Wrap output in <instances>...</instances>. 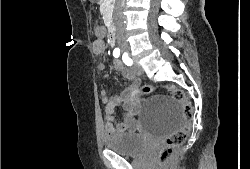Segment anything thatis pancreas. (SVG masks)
<instances>
[{"label":"pancreas","instance_id":"cf45deb5","mask_svg":"<svg viewBox=\"0 0 250 169\" xmlns=\"http://www.w3.org/2000/svg\"><path fill=\"white\" fill-rule=\"evenodd\" d=\"M101 8L103 12H107L113 6V0H100Z\"/></svg>","mask_w":250,"mask_h":169}]
</instances>
